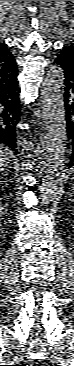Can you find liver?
I'll use <instances>...</instances> for the list:
<instances>
[{"label": "liver", "mask_w": 74, "mask_h": 366, "mask_svg": "<svg viewBox=\"0 0 74 366\" xmlns=\"http://www.w3.org/2000/svg\"><path fill=\"white\" fill-rule=\"evenodd\" d=\"M13 153L9 149L8 146L3 144L0 145V168L4 169L9 164V160L12 157Z\"/></svg>", "instance_id": "liver-1"}]
</instances>
